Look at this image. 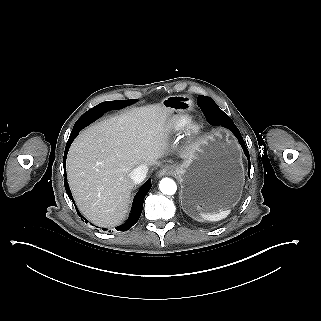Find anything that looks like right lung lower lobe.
Wrapping results in <instances>:
<instances>
[{
  "label": "right lung lower lobe",
  "instance_id": "98d812e1",
  "mask_svg": "<svg viewBox=\"0 0 321 321\" xmlns=\"http://www.w3.org/2000/svg\"><path fill=\"white\" fill-rule=\"evenodd\" d=\"M128 105H131V104L122 103V104L109 105V106H103V107L95 106L92 109H90L89 111H87L86 113H84L78 119V121L75 123L72 133H71V136L67 142V145L65 148V154H64V166L66 164V156H67L69 147H70L71 143L73 142V140L77 137L80 130H82L84 127H86L90 123L94 122L99 117H101L105 112L110 111V110L121 109V108L126 107ZM64 185H65L66 192L68 193V196L70 197V199L74 203V200L71 195L69 185L67 183L66 178H65ZM150 188H151V179H148L146 181V183L142 185V187L140 188V190L137 192V194L134 197V201L132 204V210H131L129 218L126 220V222L124 224L116 227V230L126 231V230L130 229L138 221V219L141 215V212H142L144 198H145L146 194L148 193V191L150 190ZM77 212H78V210H77ZM78 214L83 220H86L79 212H78ZM103 230H106V229H103Z\"/></svg>",
  "mask_w": 321,
  "mask_h": 321
}]
</instances>
